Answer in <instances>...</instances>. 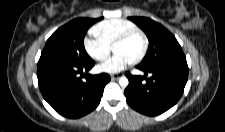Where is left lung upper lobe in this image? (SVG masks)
I'll list each match as a JSON object with an SVG mask.
<instances>
[{
	"label": "left lung upper lobe",
	"mask_w": 225,
	"mask_h": 132,
	"mask_svg": "<svg viewBox=\"0 0 225 132\" xmlns=\"http://www.w3.org/2000/svg\"><path fill=\"white\" fill-rule=\"evenodd\" d=\"M147 35L149 51L139 64L141 67H150L165 62L186 61L176 38L161 24L146 17H129Z\"/></svg>",
	"instance_id": "left-lung-upper-lobe-1"
}]
</instances>
